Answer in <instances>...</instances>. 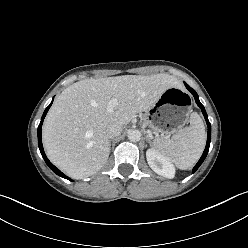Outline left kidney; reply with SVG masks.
<instances>
[{"mask_svg": "<svg viewBox=\"0 0 248 248\" xmlns=\"http://www.w3.org/2000/svg\"><path fill=\"white\" fill-rule=\"evenodd\" d=\"M146 158L150 168L155 173L169 179L174 177V166L161 152L153 148L148 149Z\"/></svg>", "mask_w": 248, "mask_h": 248, "instance_id": "left-kidney-1", "label": "left kidney"}]
</instances>
